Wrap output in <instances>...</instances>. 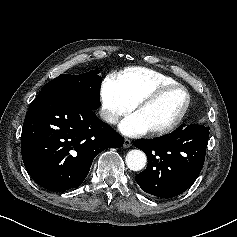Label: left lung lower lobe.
Segmentation results:
<instances>
[{"instance_id": "0a47b994", "label": "left lung lower lobe", "mask_w": 237, "mask_h": 237, "mask_svg": "<svg viewBox=\"0 0 237 237\" xmlns=\"http://www.w3.org/2000/svg\"><path fill=\"white\" fill-rule=\"evenodd\" d=\"M209 127L180 125L170 134L150 140H136L148 165L135 180L151 195L172 198L186 191L202 170L209 138Z\"/></svg>"}]
</instances>
